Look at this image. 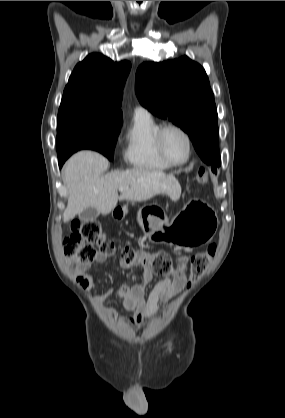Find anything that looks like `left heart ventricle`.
Returning a JSON list of instances; mask_svg holds the SVG:
<instances>
[{
	"label": "left heart ventricle",
	"instance_id": "left-heart-ventricle-1",
	"mask_svg": "<svg viewBox=\"0 0 285 418\" xmlns=\"http://www.w3.org/2000/svg\"><path fill=\"white\" fill-rule=\"evenodd\" d=\"M163 146L167 156L173 162H181L185 159L187 143L180 132L168 130L163 136Z\"/></svg>",
	"mask_w": 285,
	"mask_h": 418
}]
</instances>
